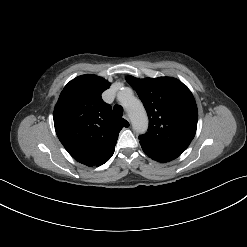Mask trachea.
<instances>
[{
  "mask_svg": "<svg viewBox=\"0 0 247 247\" xmlns=\"http://www.w3.org/2000/svg\"><path fill=\"white\" fill-rule=\"evenodd\" d=\"M113 111H114L115 115H117L118 117H122V115H123V108L120 105H115L113 107Z\"/></svg>",
  "mask_w": 247,
  "mask_h": 247,
  "instance_id": "3493384b",
  "label": "trachea"
}]
</instances>
